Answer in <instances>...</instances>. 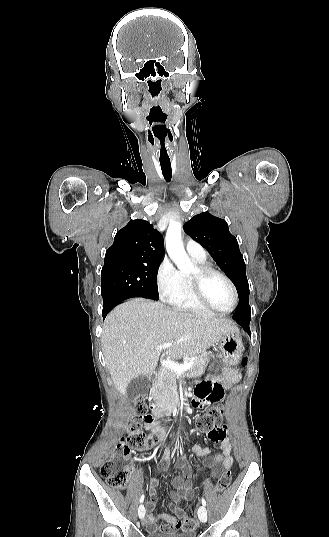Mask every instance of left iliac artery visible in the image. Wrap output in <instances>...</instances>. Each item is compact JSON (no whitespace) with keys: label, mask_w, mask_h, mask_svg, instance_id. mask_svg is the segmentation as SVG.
<instances>
[{"label":"left iliac artery","mask_w":329,"mask_h":537,"mask_svg":"<svg viewBox=\"0 0 329 537\" xmlns=\"http://www.w3.org/2000/svg\"><path fill=\"white\" fill-rule=\"evenodd\" d=\"M201 502H202V505H203V506H206V501H205L204 498L201 499Z\"/></svg>","instance_id":"44dca946"}]
</instances>
